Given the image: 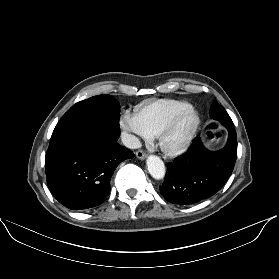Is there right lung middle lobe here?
<instances>
[{
	"mask_svg": "<svg viewBox=\"0 0 279 279\" xmlns=\"http://www.w3.org/2000/svg\"><path fill=\"white\" fill-rule=\"evenodd\" d=\"M120 118V105L111 95H98L73 105L57 123L53 134L62 133L103 117Z\"/></svg>",
	"mask_w": 279,
	"mask_h": 279,
	"instance_id": "right-lung-middle-lobe-1",
	"label": "right lung middle lobe"
}]
</instances>
